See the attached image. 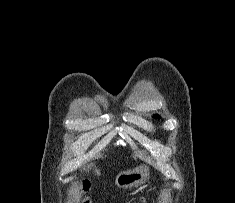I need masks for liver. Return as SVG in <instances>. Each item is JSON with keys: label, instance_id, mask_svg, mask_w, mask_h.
<instances>
[{"label": "liver", "instance_id": "1", "mask_svg": "<svg viewBox=\"0 0 235 203\" xmlns=\"http://www.w3.org/2000/svg\"><path fill=\"white\" fill-rule=\"evenodd\" d=\"M98 174H100L99 170H96Z\"/></svg>", "mask_w": 235, "mask_h": 203}]
</instances>
